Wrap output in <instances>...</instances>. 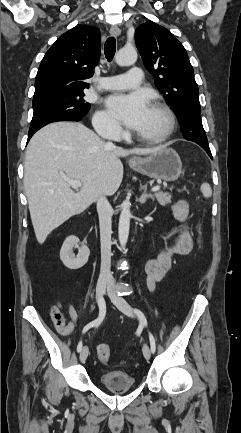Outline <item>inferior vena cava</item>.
I'll use <instances>...</instances> for the list:
<instances>
[{
    "instance_id": "1",
    "label": "inferior vena cava",
    "mask_w": 241,
    "mask_h": 433,
    "mask_svg": "<svg viewBox=\"0 0 241 433\" xmlns=\"http://www.w3.org/2000/svg\"><path fill=\"white\" fill-rule=\"evenodd\" d=\"M99 134H101L104 138L106 137L100 132ZM107 144L109 146H113L111 142ZM97 212L99 216L101 242V269L99 280L112 281L113 276L109 266L111 263V218L113 210L105 195H102L97 199Z\"/></svg>"
}]
</instances>
